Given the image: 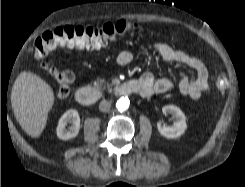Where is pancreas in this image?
I'll list each match as a JSON object with an SVG mask.
<instances>
[{
	"label": "pancreas",
	"instance_id": "1",
	"mask_svg": "<svg viewBox=\"0 0 245 187\" xmlns=\"http://www.w3.org/2000/svg\"><path fill=\"white\" fill-rule=\"evenodd\" d=\"M96 85L101 90L105 87L110 88L112 86V84L106 83L104 79L97 80Z\"/></svg>",
	"mask_w": 245,
	"mask_h": 187
}]
</instances>
